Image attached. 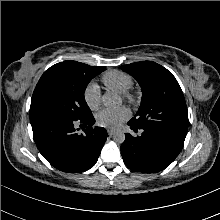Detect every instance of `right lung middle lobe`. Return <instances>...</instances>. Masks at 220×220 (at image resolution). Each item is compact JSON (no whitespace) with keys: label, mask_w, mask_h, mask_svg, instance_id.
Wrapping results in <instances>:
<instances>
[{"label":"right lung middle lobe","mask_w":220,"mask_h":220,"mask_svg":"<svg viewBox=\"0 0 220 220\" xmlns=\"http://www.w3.org/2000/svg\"><path fill=\"white\" fill-rule=\"evenodd\" d=\"M103 66H89L76 61H64L47 69L32 96L30 110H48L68 119H84L92 115L84 91Z\"/></svg>","instance_id":"1"}]
</instances>
